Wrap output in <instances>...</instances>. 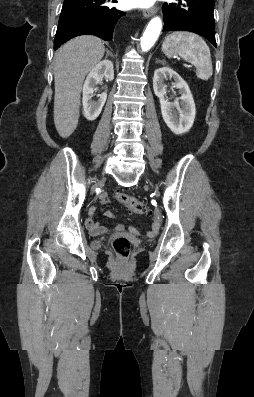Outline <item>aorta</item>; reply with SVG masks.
Instances as JSON below:
<instances>
[{
  "mask_svg": "<svg viewBox=\"0 0 254 397\" xmlns=\"http://www.w3.org/2000/svg\"><path fill=\"white\" fill-rule=\"evenodd\" d=\"M161 29H162V21L159 17H155L149 22L141 38L140 44L142 51H148L154 45V43L159 37Z\"/></svg>",
  "mask_w": 254,
  "mask_h": 397,
  "instance_id": "1",
  "label": "aorta"
}]
</instances>
